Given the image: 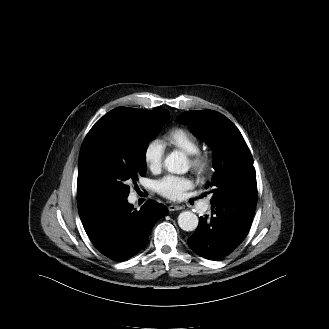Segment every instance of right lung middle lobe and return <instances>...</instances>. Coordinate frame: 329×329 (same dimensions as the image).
<instances>
[{
	"instance_id": "right-lung-middle-lobe-1",
	"label": "right lung middle lobe",
	"mask_w": 329,
	"mask_h": 329,
	"mask_svg": "<svg viewBox=\"0 0 329 329\" xmlns=\"http://www.w3.org/2000/svg\"><path fill=\"white\" fill-rule=\"evenodd\" d=\"M168 115L163 110L142 120L130 108L119 107L95 123L79 154L80 205L101 195L128 196L129 184L146 174V149Z\"/></svg>"
}]
</instances>
